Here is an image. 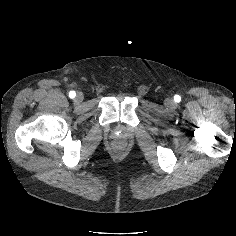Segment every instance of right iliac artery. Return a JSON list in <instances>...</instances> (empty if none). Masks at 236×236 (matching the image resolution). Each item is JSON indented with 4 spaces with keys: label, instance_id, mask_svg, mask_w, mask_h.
<instances>
[{
    "label": "right iliac artery",
    "instance_id": "right-iliac-artery-1",
    "mask_svg": "<svg viewBox=\"0 0 236 236\" xmlns=\"http://www.w3.org/2000/svg\"><path fill=\"white\" fill-rule=\"evenodd\" d=\"M76 96V93L74 91L69 92V97L74 98Z\"/></svg>",
    "mask_w": 236,
    "mask_h": 236
}]
</instances>
